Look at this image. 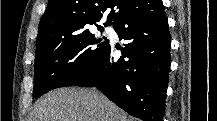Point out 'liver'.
Segmentation results:
<instances>
[{
    "instance_id": "obj_1",
    "label": "liver",
    "mask_w": 217,
    "mask_h": 121,
    "mask_svg": "<svg viewBox=\"0 0 217 121\" xmlns=\"http://www.w3.org/2000/svg\"><path fill=\"white\" fill-rule=\"evenodd\" d=\"M33 121H127L126 113L94 89L61 88L41 98Z\"/></svg>"
}]
</instances>
